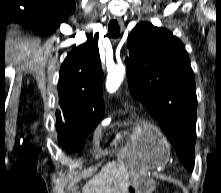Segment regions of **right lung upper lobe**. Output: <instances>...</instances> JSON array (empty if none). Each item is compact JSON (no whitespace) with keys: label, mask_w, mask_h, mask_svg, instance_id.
I'll use <instances>...</instances> for the list:
<instances>
[{"label":"right lung upper lobe","mask_w":221,"mask_h":193,"mask_svg":"<svg viewBox=\"0 0 221 193\" xmlns=\"http://www.w3.org/2000/svg\"><path fill=\"white\" fill-rule=\"evenodd\" d=\"M98 36L92 37L71 51L60 69L58 92L63 115L58 120H72L104 116L102 96L103 72L99 56ZM103 118V117H102Z\"/></svg>","instance_id":"right-lung-upper-lobe-1"}]
</instances>
